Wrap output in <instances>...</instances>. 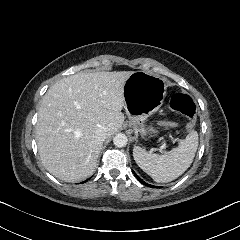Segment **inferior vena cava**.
I'll list each match as a JSON object with an SVG mask.
<instances>
[{"mask_svg": "<svg viewBox=\"0 0 240 240\" xmlns=\"http://www.w3.org/2000/svg\"><path fill=\"white\" fill-rule=\"evenodd\" d=\"M96 136L100 141H104L108 137V130L106 128H100L96 131Z\"/></svg>", "mask_w": 240, "mask_h": 240, "instance_id": "obj_1", "label": "inferior vena cava"}]
</instances>
